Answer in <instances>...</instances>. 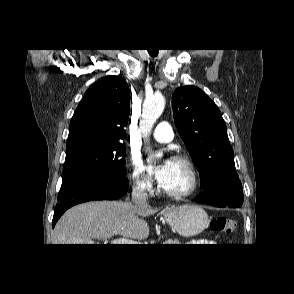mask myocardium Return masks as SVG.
Listing matches in <instances>:
<instances>
[{
    "instance_id": "myocardium-1",
    "label": "myocardium",
    "mask_w": 294,
    "mask_h": 294,
    "mask_svg": "<svg viewBox=\"0 0 294 294\" xmlns=\"http://www.w3.org/2000/svg\"><path fill=\"white\" fill-rule=\"evenodd\" d=\"M174 161L182 164L183 166L187 168L190 175V184L187 189L180 192L168 191L164 189L162 186H159V191L163 195L170 198H174V199H182V198L189 197L195 192L199 184V175H198L197 168L194 162L190 158L183 155H178L174 157Z\"/></svg>"
}]
</instances>
